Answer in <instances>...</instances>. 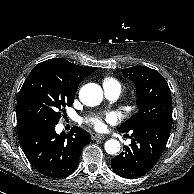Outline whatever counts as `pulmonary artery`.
I'll use <instances>...</instances> for the list:
<instances>
[{
    "instance_id": "e3ab8cb5",
    "label": "pulmonary artery",
    "mask_w": 194,
    "mask_h": 194,
    "mask_svg": "<svg viewBox=\"0 0 194 194\" xmlns=\"http://www.w3.org/2000/svg\"><path fill=\"white\" fill-rule=\"evenodd\" d=\"M105 91V95L106 97L109 99V100H117L119 95H120V92L117 91V90H112V89H104Z\"/></svg>"
}]
</instances>
